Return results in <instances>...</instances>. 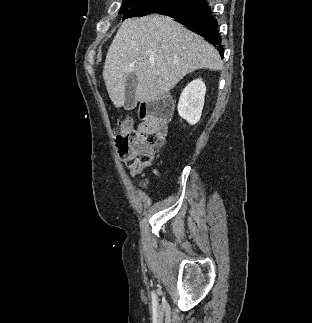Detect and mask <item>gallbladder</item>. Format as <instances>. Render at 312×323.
Segmentation results:
<instances>
[{"label": "gallbladder", "mask_w": 312, "mask_h": 323, "mask_svg": "<svg viewBox=\"0 0 312 323\" xmlns=\"http://www.w3.org/2000/svg\"><path fill=\"white\" fill-rule=\"evenodd\" d=\"M136 88H137V76H135V74H129V76H127V80L125 84V100H124L125 110H133V108H135Z\"/></svg>", "instance_id": "bac80fb5"}]
</instances>
